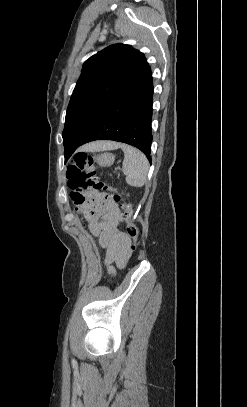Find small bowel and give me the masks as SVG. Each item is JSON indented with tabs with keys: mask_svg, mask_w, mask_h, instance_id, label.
I'll return each mask as SVG.
<instances>
[{
	"mask_svg": "<svg viewBox=\"0 0 247 407\" xmlns=\"http://www.w3.org/2000/svg\"><path fill=\"white\" fill-rule=\"evenodd\" d=\"M86 225L105 250V263L110 272L112 264L123 267L130 258V237L118 229L122 215L118 204L111 196L89 193L79 205Z\"/></svg>",
	"mask_w": 247,
	"mask_h": 407,
	"instance_id": "obj_1",
	"label": "small bowel"
}]
</instances>
